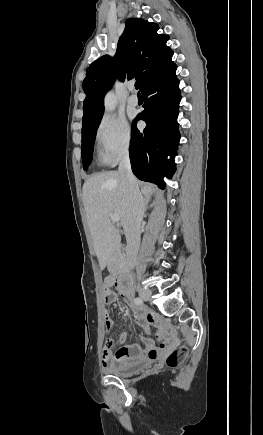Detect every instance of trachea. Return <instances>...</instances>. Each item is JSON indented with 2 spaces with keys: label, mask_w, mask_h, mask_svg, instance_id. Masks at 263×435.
Returning a JSON list of instances; mask_svg holds the SVG:
<instances>
[{
  "label": "trachea",
  "mask_w": 263,
  "mask_h": 435,
  "mask_svg": "<svg viewBox=\"0 0 263 435\" xmlns=\"http://www.w3.org/2000/svg\"><path fill=\"white\" fill-rule=\"evenodd\" d=\"M135 88L138 90L139 89V84L136 82L135 83Z\"/></svg>",
  "instance_id": "3493384b"
}]
</instances>
